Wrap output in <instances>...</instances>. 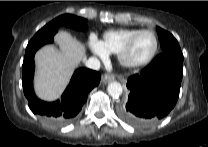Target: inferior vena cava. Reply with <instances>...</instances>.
I'll return each instance as SVG.
<instances>
[{
	"label": "inferior vena cava",
	"mask_w": 208,
	"mask_h": 147,
	"mask_svg": "<svg viewBox=\"0 0 208 147\" xmlns=\"http://www.w3.org/2000/svg\"><path fill=\"white\" fill-rule=\"evenodd\" d=\"M86 67L93 69V70H99L100 69V61L96 57H91L85 62Z\"/></svg>",
	"instance_id": "inferior-vena-cava-1"
}]
</instances>
